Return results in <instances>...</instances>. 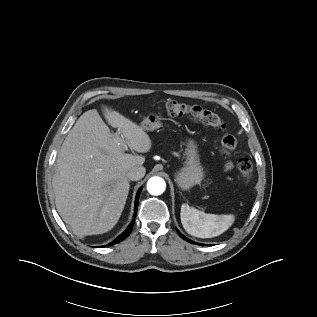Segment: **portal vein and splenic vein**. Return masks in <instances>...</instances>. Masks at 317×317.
Masks as SVG:
<instances>
[{
    "instance_id": "18ae733b",
    "label": "portal vein and splenic vein",
    "mask_w": 317,
    "mask_h": 317,
    "mask_svg": "<svg viewBox=\"0 0 317 317\" xmlns=\"http://www.w3.org/2000/svg\"><path fill=\"white\" fill-rule=\"evenodd\" d=\"M115 135H119V132L118 133H115ZM121 145H122V147L124 148V149H127V143L126 142H122L121 143Z\"/></svg>"
}]
</instances>
